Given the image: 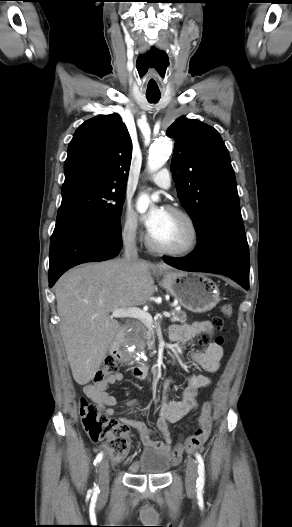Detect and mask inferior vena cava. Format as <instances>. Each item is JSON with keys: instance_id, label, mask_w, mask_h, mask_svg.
I'll return each mask as SVG.
<instances>
[{"instance_id": "1", "label": "inferior vena cava", "mask_w": 292, "mask_h": 527, "mask_svg": "<svg viewBox=\"0 0 292 527\" xmlns=\"http://www.w3.org/2000/svg\"><path fill=\"white\" fill-rule=\"evenodd\" d=\"M135 237V230H131L123 235L124 257L127 261L138 259Z\"/></svg>"}]
</instances>
